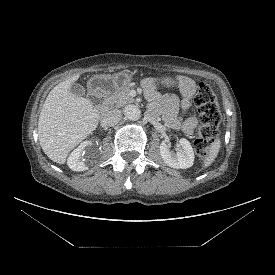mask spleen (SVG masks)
Here are the masks:
<instances>
[{
    "label": "spleen",
    "mask_w": 275,
    "mask_h": 275,
    "mask_svg": "<svg viewBox=\"0 0 275 275\" xmlns=\"http://www.w3.org/2000/svg\"><path fill=\"white\" fill-rule=\"evenodd\" d=\"M220 146H221V141L219 138H217L215 140V142L210 146L209 152L204 159V167L205 168H207L214 162V160L216 159V157L219 153Z\"/></svg>",
    "instance_id": "obj_1"
}]
</instances>
